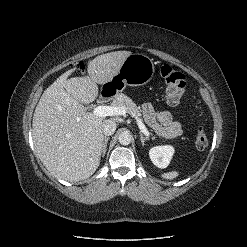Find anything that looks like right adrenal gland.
Here are the masks:
<instances>
[{
	"label": "right adrenal gland",
	"instance_id": "obj_1",
	"mask_svg": "<svg viewBox=\"0 0 247 247\" xmlns=\"http://www.w3.org/2000/svg\"><path fill=\"white\" fill-rule=\"evenodd\" d=\"M109 137H104V142L102 146V156H105L106 154V148H107V143H108Z\"/></svg>",
	"mask_w": 247,
	"mask_h": 247
}]
</instances>
